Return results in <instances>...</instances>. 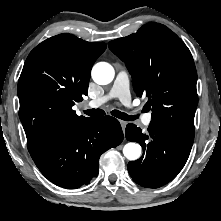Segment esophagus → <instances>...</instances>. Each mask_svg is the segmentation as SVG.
<instances>
[{
    "mask_svg": "<svg viewBox=\"0 0 221 221\" xmlns=\"http://www.w3.org/2000/svg\"><path fill=\"white\" fill-rule=\"evenodd\" d=\"M120 124L122 126V129L124 130L126 125H127V122L126 121H123V120H120Z\"/></svg>",
    "mask_w": 221,
    "mask_h": 221,
    "instance_id": "obj_1",
    "label": "esophagus"
}]
</instances>
